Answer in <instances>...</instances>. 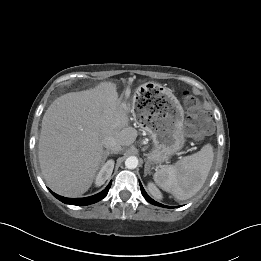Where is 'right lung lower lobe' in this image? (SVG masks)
Instances as JSON below:
<instances>
[{
  "label": "right lung lower lobe",
  "mask_w": 261,
  "mask_h": 261,
  "mask_svg": "<svg viewBox=\"0 0 261 261\" xmlns=\"http://www.w3.org/2000/svg\"><path fill=\"white\" fill-rule=\"evenodd\" d=\"M110 187H111V182L102 192H100L96 195L90 196V197H86V198H66V197H62V196L55 194L51 190H50V192L63 203L71 204V205H89V204L96 203V202L100 201L101 199H103L107 195Z\"/></svg>",
  "instance_id": "right-lung-lower-lobe-1"
}]
</instances>
